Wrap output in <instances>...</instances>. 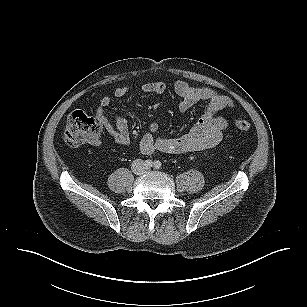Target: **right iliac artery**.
Instances as JSON below:
<instances>
[{
    "label": "right iliac artery",
    "instance_id": "1",
    "mask_svg": "<svg viewBox=\"0 0 307 307\" xmlns=\"http://www.w3.org/2000/svg\"><path fill=\"white\" fill-rule=\"evenodd\" d=\"M145 167L151 168L153 166V161L148 159L144 162Z\"/></svg>",
    "mask_w": 307,
    "mask_h": 307
}]
</instances>
